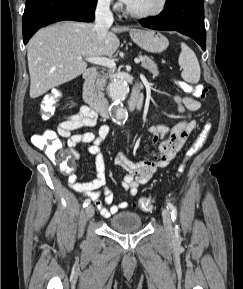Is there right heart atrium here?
I'll list each match as a JSON object with an SVG mask.
<instances>
[{
	"mask_svg": "<svg viewBox=\"0 0 243 289\" xmlns=\"http://www.w3.org/2000/svg\"><path fill=\"white\" fill-rule=\"evenodd\" d=\"M99 5L105 8L117 7V4L114 0H98Z\"/></svg>",
	"mask_w": 243,
	"mask_h": 289,
	"instance_id": "obj_1",
	"label": "right heart atrium"
}]
</instances>
